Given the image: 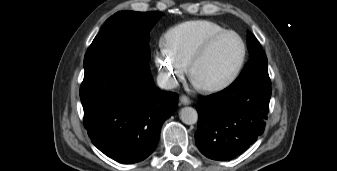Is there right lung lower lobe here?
Segmentation results:
<instances>
[{"label": "right lung lower lobe", "mask_w": 337, "mask_h": 171, "mask_svg": "<svg viewBox=\"0 0 337 171\" xmlns=\"http://www.w3.org/2000/svg\"><path fill=\"white\" fill-rule=\"evenodd\" d=\"M84 68L80 98L92 143L121 163L146 159L176 110L178 95L155 87L148 61L117 55Z\"/></svg>", "instance_id": "right-lung-lower-lobe-1"}]
</instances>
